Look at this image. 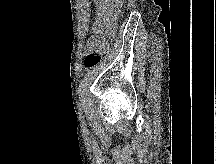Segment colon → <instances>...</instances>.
<instances>
[{
  "label": "colon",
  "mask_w": 216,
  "mask_h": 164,
  "mask_svg": "<svg viewBox=\"0 0 216 164\" xmlns=\"http://www.w3.org/2000/svg\"><path fill=\"white\" fill-rule=\"evenodd\" d=\"M93 43V46L88 50L84 59V65L87 69H93L98 66L107 54V45L100 38L93 40Z\"/></svg>",
  "instance_id": "colon-1"
}]
</instances>
